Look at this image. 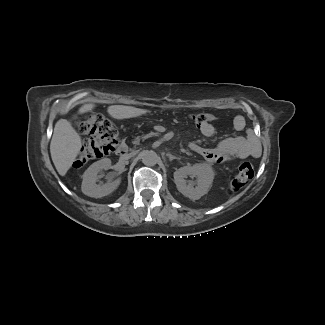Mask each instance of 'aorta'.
Segmentation results:
<instances>
[{
    "label": "aorta",
    "instance_id": "aorta-1",
    "mask_svg": "<svg viewBox=\"0 0 325 325\" xmlns=\"http://www.w3.org/2000/svg\"><path fill=\"white\" fill-rule=\"evenodd\" d=\"M141 159L144 165L154 166L157 164L159 157L154 151L144 150L141 153Z\"/></svg>",
    "mask_w": 325,
    "mask_h": 325
}]
</instances>
